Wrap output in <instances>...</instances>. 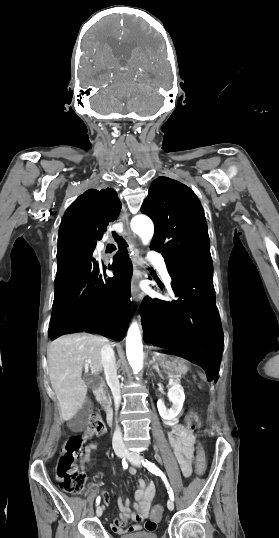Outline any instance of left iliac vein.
Wrapping results in <instances>:
<instances>
[{"instance_id":"4c4485c4","label":"left iliac vein","mask_w":279,"mask_h":538,"mask_svg":"<svg viewBox=\"0 0 279 538\" xmlns=\"http://www.w3.org/2000/svg\"><path fill=\"white\" fill-rule=\"evenodd\" d=\"M140 459H141V456L135 453H131L128 457V460L130 461V463L136 467H141ZM167 506L170 511L174 509V502L172 499L168 500Z\"/></svg>"}]
</instances>
